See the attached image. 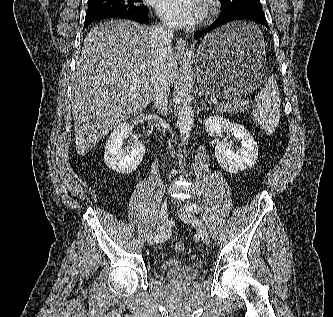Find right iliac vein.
Masks as SVG:
<instances>
[{
	"label": "right iliac vein",
	"mask_w": 333,
	"mask_h": 317,
	"mask_svg": "<svg viewBox=\"0 0 333 317\" xmlns=\"http://www.w3.org/2000/svg\"><path fill=\"white\" fill-rule=\"evenodd\" d=\"M157 230L148 238V244L153 245L157 242V237L165 232L168 226L167 202L163 200L157 210Z\"/></svg>",
	"instance_id": "1"
}]
</instances>
